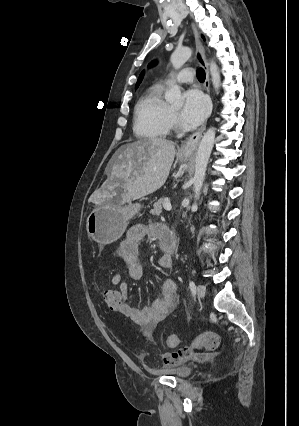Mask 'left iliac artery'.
<instances>
[{
  "instance_id": "left-iliac-artery-1",
  "label": "left iliac artery",
  "mask_w": 299,
  "mask_h": 426,
  "mask_svg": "<svg viewBox=\"0 0 299 426\" xmlns=\"http://www.w3.org/2000/svg\"><path fill=\"white\" fill-rule=\"evenodd\" d=\"M189 287H190V290H191L192 294L195 295V293H196V286H195V283L193 281H189Z\"/></svg>"
}]
</instances>
